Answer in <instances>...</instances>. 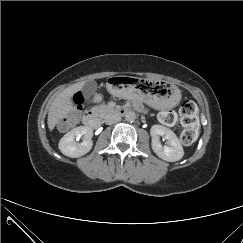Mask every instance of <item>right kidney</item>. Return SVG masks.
<instances>
[{"instance_id": "ca27d5eb", "label": "right kidney", "mask_w": 243, "mask_h": 243, "mask_svg": "<svg viewBox=\"0 0 243 243\" xmlns=\"http://www.w3.org/2000/svg\"><path fill=\"white\" fill-rule=\"evenodd\" d=\"M83 136V141L78 142ZM91 128L79 126L66 133L59 142L60 151L71 158H78L88 153L93 145Z\"/></svg>"}]
</instances>
